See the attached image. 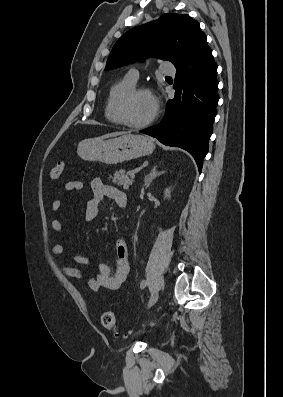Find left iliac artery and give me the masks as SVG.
Here are the masks:
<instances>
[{"mask_svg":"<svg viewBox=\"0 0 283 397\" xmlns=\"http://www.w3.org/2000/svg\"><path fill=\"white\" fill-rule=\"evenodd\" d=\"M147 282L145 280H143L140 284L141 289L145 288Z\"/></svg>","mask_w":283,"mask_h":397,"instance_id":"44dca946","label":"left iliac artery"}]
</instances>
